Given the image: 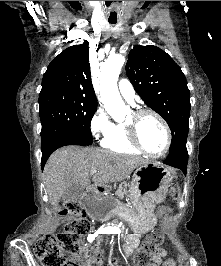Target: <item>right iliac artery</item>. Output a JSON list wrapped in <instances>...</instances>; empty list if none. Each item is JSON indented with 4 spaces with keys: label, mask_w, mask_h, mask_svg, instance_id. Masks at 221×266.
I'll list each match as a JSON object with an SVG mask.
<instances>
[{
    "label": "right iliac artery",
    "mask_w": 221,
    "mask_h": 266,
    "mask_svg": "<svg viewBox=\"0 0 221 266\" xmlns=\"http://www.w3.org/2000/svg\"><path fill=\"white\" fill-rule=\"evenodd\" d=\"M98 234H108V232H107L106 230H100V229H99V230L94 234L93 237H90V236H89L87 239H88L90 242H92Z\"/></svg>",
    "instance_id": "right-iliac-artery-1"
}]
</instances>
